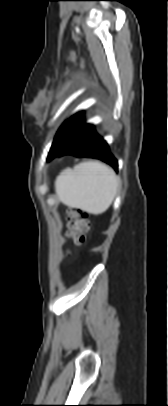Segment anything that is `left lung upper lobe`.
<instances>
[{
	"mask_svg": "<svg viewBox=\"0 0 168 406\" xmlns=\"http://www.w3.org/2000/svg\"><path fill=\"white\" fill-rule=\"evenodd\" d=\"M82 114L83 113L80 112L73 115L61 126L53 141L50 153L72 140L84 128L85 125Z\"/></svg>",
	"mask_w": 168,
	"mask_h": 406,
	"instance_id": "5c2ea615",
	"label": "left lung upper lobe"
}]
</instances>
